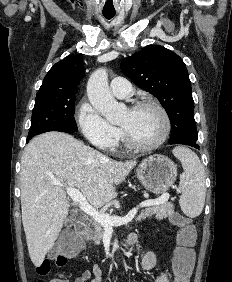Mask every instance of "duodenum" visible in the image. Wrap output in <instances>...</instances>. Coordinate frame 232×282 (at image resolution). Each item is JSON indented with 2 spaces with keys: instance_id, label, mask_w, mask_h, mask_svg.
Segmentation results:
<instances>
[{
  "instance_id": "410a0bca",
  "label": "duodenum",
  "mask_w": 232,
  "mask_h": 282,
  "mask_svg": "<svg viewBox=\"0 0 232 282\" xmlns=\"http://www.w3.org/2000/svg\"><path fill=\"white\" fill-rule=\"evenodd\" d=\"M75 231L81 237H85L88 232V224L84 220H79L75 224Z\"/></svg>"
}]
</instances>
